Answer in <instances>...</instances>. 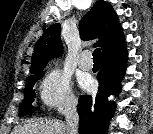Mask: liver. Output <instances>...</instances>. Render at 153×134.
<instances>
[{"instance_id":"1","label":"liver","mask_w":153,"mask_h":134,"mask_svg":"<svg viewBox=\"0 0 153 134\" xmlns=\"http://www.w3.org/2000/svg\"><path fill=\"white\" fill-rule=\"evenodd\" d=\"M13 134H66V124L58 121H35L15 127Z\"/></svg>"}]
</instances>
